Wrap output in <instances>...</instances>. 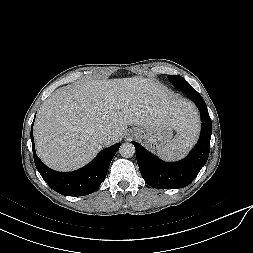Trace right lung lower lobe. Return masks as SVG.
I'll return each instance as SVG.
<instances>
[{
  "instance_id": "right-lung-lower-lobe-1",
  "label": "right lung lower lobe",
  "mask_w": 253,
  "mask_h": 253,
  "mask_svg": "<svg viewBox=\"0 0 253 253\" xmlns=\"http://www.w3.org/2000/svg\"><path fill=\"white\" fill-rule=\"evenodd\" d=\"M31 141L35 165L40 175L53 190L67 196H84L95 192L105 180L111 160L120 146L115 144L101 151L88 165L79 170L62 173L48 168L37 157L32 131Z\"/></svg>"
}]
</instances>
